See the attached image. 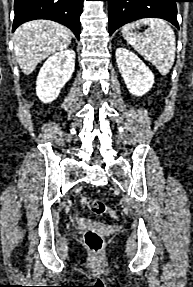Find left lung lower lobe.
<instances>
[{
  "label": "left lung lower lobe",
  "mask_w": 193,
  "mask_h": 287,
  "mask_svg": "<svg viewBox=\"0 0 193 287\" xmlns=\"http://www.w3.org/2000/svg\"><path fill=\"white\" fill-rule=\"evenodd\" d=\"M108 1L109 35L120 26L141 18H162L179 28L178 0H105Z\"/></svg>",
  "instance_id": "1"
}]
</instances>
